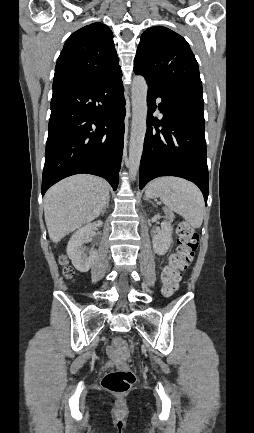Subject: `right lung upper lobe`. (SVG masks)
I'll return each mask as SVG.
<instances>
[{"label": "right lung upper lobe", "instance_id": "right-lung-upper-lobe-1", "mask_svg": "<svg viewBox=\"0 0 254 433\" xmlns=\"http://www.w3.org/2000/svg\"><path fill=\"white\" fill-rule=\"evenodd\" d=\"M121 75L111 30L102 23H93L74 32L65 42L56 63L53 89Z\"/></svg>", "mask_w": 254, "mask_h": 433}]
</instances>
